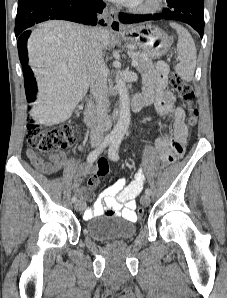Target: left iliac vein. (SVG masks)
Instances as JSON below:
<instances>
[{
    "label": "left iliac vein",
    "instance_id": "obj_1",
    "mask_svg": "<svg viewBox=\"0 0 227 298\" xmlns=\"http://www.w3.org/2000/svg\"><path fill=\"white\" fill-rule=\"evenodd\" d=\"M141 204L143 205V206H148L149 204H150V195H148V194H144L142 197H141Z\"/></svg>",
    "mask_w": 227,
    "mask_h": 298
}]
</instances>
